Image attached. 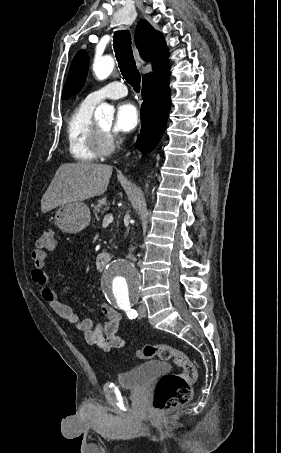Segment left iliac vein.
I'll return each instance as SVG.
<instances>
[{
    "mask_svg": "<svg viewBox=\"0 0 281 453\" xmlns=\"http://www.w3.org/2000/svg\"><path fill=\"white\" fill-rule=\"evenodd\" d=\"M146 305L145 304H141V307H139V311H138V314L140 316H146Z\"/></svg>",
    "mask_w": 281,
    "mask_h": 453,
    "instance_id": "left-iliac-vein-1",
    "label": "left iliac vein"
}]
</instances>
